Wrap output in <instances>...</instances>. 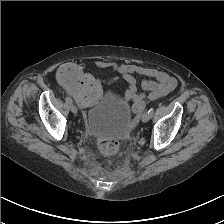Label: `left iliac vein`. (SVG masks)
I'll list each match as a JSON object with an SVG mask.
<instances>
[{
	"mask_svg": "<svg viewBox=\"0 0 224 224\" xmlns=\"http://www.w3.org/2000/svg\"><path fill=\"white\" fill-rule=\"evenodd\" d=\"M151 119V115L148 111L144 112L143 115H142V122H148L149 120Z\"/></svg>",
	"mask_w": 224,
	"mask_h": 224,
	"instance_id": "obj_1",
	"label": "left iliac vein"
}]
</instances>
